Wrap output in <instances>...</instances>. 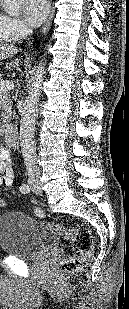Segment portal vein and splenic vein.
Wrapping results in <instances>:
<instances>
[{
  "mask_svg": "<svg viewBox=\"0 0 129 309\" xmlns=\"http://www.w3.org/2000/svg\"><path fill=\"white\" fill-rule=\"evenodd\" d=\"M0 86H1V88L5 87V88L11 90V89L14 88V82L13 81H6L5 83L1 84Z\"/></svg>",
  "mask_w": 129,
  "mask_h": 309,
  "instance_id": "18ae733b",
  "label": "portal vein and splenic vein"
}]
</instances>
